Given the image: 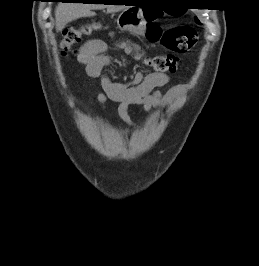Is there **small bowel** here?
<instances>
[{
	"label": "small bowel",
	"instance_id": "c3829d8e",
	"mask_svg": "<svg viewBox=\"0 0 259 266\" xmlns=\"http://www.w3.org/2000/svg\"><path fill=\"white\" fill-rule=\"evenodd\" d=\"M107 44L103 40L93 39L86 42L80 51L79 61L85 66L90 77H100L104 92L98 94L97 101L104 105L107 100L118 103L117 113L119 117L130 127L135 123L129 114L131 105L143 107L147 112L158 107H165L180 96L186 86L178 84L163 93L158 90L170 80L164 73H149L144 75L137 72L127 82L113 81L108 75L111 65V57L106 53ZM127 48L134 51L137 56L143 54V50L136 44L128 43Z\"/></svg>",
	"mask_w": 259,
	"mask_h": 266
}]
</instances>
